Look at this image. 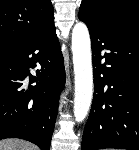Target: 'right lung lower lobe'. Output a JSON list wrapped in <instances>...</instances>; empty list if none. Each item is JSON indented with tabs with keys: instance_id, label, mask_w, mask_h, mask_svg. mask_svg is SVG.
<instances>
[{
	"instance_id": "98d812e1",
	"label": "right lung lower lobe",
	"mask_w": 139,
	"mask_h": 150,
	"mask_svg": "<svg viewBox=\"0 0 139 150\" xmlns=\"http://www.w3.org/2000/svg\"><path fill=\"white\" fill-rule=\"evenodd\" d=\"M37 62L41 70L35 77L29 68ZM64 84V62L54 23L35 39L1 52L0 140L21 138L49 150Z\"/></svg>"
}]
</instances>
